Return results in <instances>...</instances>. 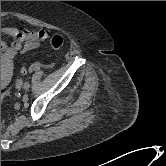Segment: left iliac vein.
I'll list each match as a JSON object with an SVG mask.
<instances>
[{
    "instance_id": "4c4485c4",
    "label": "left iliac vein",
    "mask_w": 166,
    "mask_h": 166,
    "mask_svg": "<svg viewBox=\"0 0 166 166\" xmlns=\"http://www.w3.org/2000/svg\"><path fill=\"white\" fill-rule=\"evenodd\" d=\"M30 88V83L29 82H25L24 83V89L28 90Z\"/></svg>"
}]
</instances>
